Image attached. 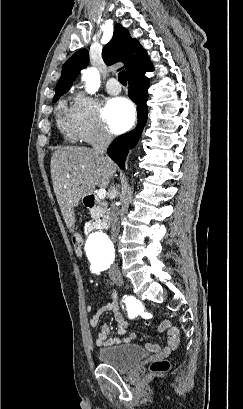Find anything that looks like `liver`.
Here are the masks:
<instances>
[{"label":"liver","instance_id":"6515ba94","mask_svg":"<svg viewBox=\"0 0 243 409\" xmlns=\"http://www.w3.org/2000/svg\"><path fill=\"white\" fill-rule=\"evenodd\" d=\"M51 178L61 214L69 231L74 232V207L96 187L105 189L116 165L87 147L58 148L51 157Z\"/></svg>","mask_w":243,"mask_h":409}]
</instances>
